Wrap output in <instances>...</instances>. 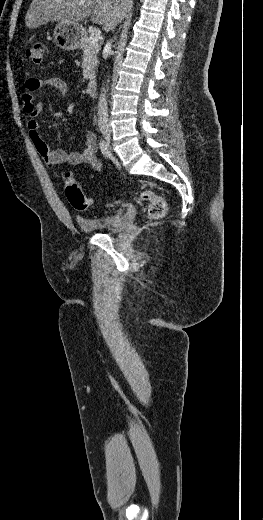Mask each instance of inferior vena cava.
Here are the masks:
<instances>
[{
  "instance_id": "obj_1",
  "label": "inferior vena cava",
  "mask_w": 263,
  "mask_h": 520,
  "mask_svg": "<svg viewBox=\"0 0 263 520\" xmlns=\"http://www.w3.org/2000/svg\"><path fill=\"white\" fill-rule=\"evenodd\" d=\"M111 43L108 42L106 44V49L109 50ZM98 126L102 132L110 131V124L108 119V107H107V97L106 90L102 88L101 94L99 96L98 102Z\"/></svg>"
}]
</instances>
